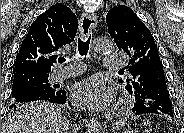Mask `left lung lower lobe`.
<instances>
[{"mask_svg": "<svg viewBox=\"0 0 184 133\" xmlns=\"http://www.w3.org/2000/svg\"><path fill=\"white\" fill-rule=\"evenodd\" d=\"M152 66L157 68L154 76L140 90L131 93L135 97L132 111L135 115L152 113L174 117L163 68L159 60H155Z\"/></svg>", "mask_w": 184, "mask_h": 133, "instance_id": "left-lung-lower-lobe-1", "label": "left lung lower lobe"}]
</instances>
